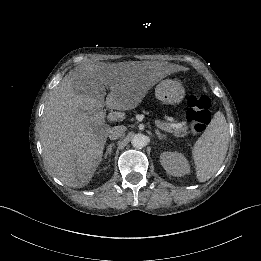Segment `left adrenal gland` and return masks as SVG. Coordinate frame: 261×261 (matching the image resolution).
<instances>
[{
	"label": "left adrenal gland",
	"mask_w": 261,
	"mask_h": 261,
	"mask_svg": "<svg viewBox=\"0 0 261 261\" xmlns=\"http://www.w3.org/2000/svg\"><path fill=\"white\" fill-rule=\"evenodd\" d=\"M156 134H157V136H158L159 139H166V135L160 133L158 129L156 130Z\"/></svg>",
	"instance_id": "obj_1"
}]
</instances>
